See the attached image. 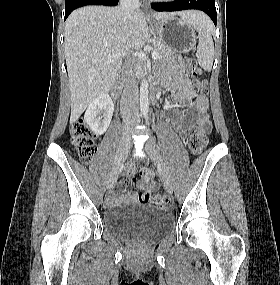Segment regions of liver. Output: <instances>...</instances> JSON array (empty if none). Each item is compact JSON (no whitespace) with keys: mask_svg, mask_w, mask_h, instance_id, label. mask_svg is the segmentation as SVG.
<instances>
[{"mask_svg":"<svg viewBox=\"0 0 280 285\" xmlns=\"http://www.w3.org/2000/svg\"><path fill=\"white\" fill-rule=\"evenodd\" d=\"M199 12L177 15L195 18ZM176 13H154L161 21ZM150 39L143 12L136 10L128 18L121 7L86 6L73 11L65 23L64 53L69 78L71 116L75 122L87 106L114 85L122 57L108 61L113 54L140 50Z\"/></svg>","mask_w":280,"mask_h":285,"instance_id":"6515ba94","label":"liver"}]
</instances>
